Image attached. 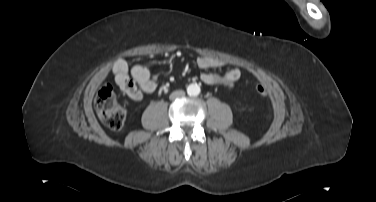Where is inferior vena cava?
<instances>
[{
	"instance_id": "obj_1",
	"label": "inferior vena cava",
	"mask_w": 376,
	"mask_h": 202,
	"mask_svg": "<svg viewBox=\"0 0 376 202\" xmlns=\"http://www.w3.org/2000/svg\"><path fill=\"white\" fill-rule=\"evenodd\" d=\"M184 95H185V92H184V91H182V90H178V91H174V92H172V93L170 94L169 98H170V100H174V99H176V98H178V97H182V96H184Z\"/></svg>"
}]
</instances>
